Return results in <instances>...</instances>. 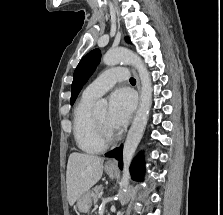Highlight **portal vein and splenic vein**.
Returning <instances> with one entry per match:
<instances>
[{"label":"portal vein and splenic vein","mask_w":223,"mask_h":215,"mask_svg":"<svg viewBox=\"0 0 223 215\" xmlns=\"http://www.w3.org/2000/svg\"><path fill=\"white\" fill-rule=\"evenodd\" d=\"M102 194H104V191H100V192L98 193V197H101Z\"/></svg>","instance_id":"1"}]
</instances>
